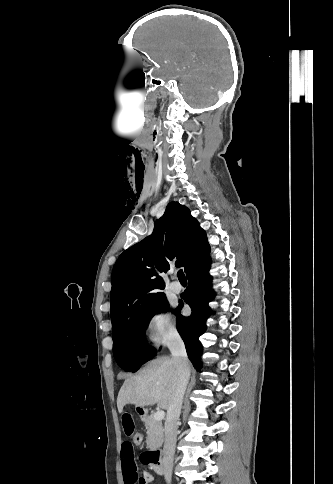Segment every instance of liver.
Returning <instances> with one entry per match:
<instances>
[{
	"label": "liver",
	"instance_id": "liver-1",
	"mask_svg": "<svg viewBox=\"0 0 333 484\" xmlns=\"http://www.w3.org/2000/svg\"><path fill=\"white\" fill-rule=\"evenodd\" d=\"M179 380L178 363L169 357L151 360L136 375L126 379L118 393L117 408L122 413L127 404L136 407L157 404L168 410Z\"/></svg>",
	"mask_w": 333,
	"mask_h": 484
}]
</instances>
